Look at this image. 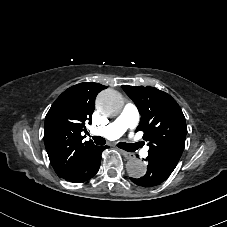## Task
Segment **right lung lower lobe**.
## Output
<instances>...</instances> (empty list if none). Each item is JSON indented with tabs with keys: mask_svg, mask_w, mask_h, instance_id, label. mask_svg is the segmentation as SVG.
Instances as JSON below:
<instances>
[{
	"mask_svg": "<svg viewBox=\"0 0 227 227\" xmlns=\"http://www.w3.org/2000/svg\"><path fill=\"white\" fill-rule=\"evenodd\" d=\"M106 147L94 146L87 150L76 165L59 176L70 182H84L93 177L99 170L102 151Z\"/></svg>",
	"mask_w": 227,
	"mask_h": 227,
	"instance_id": "obj_1",
	"label": "right lung lower lobe"
}]
</instances>
